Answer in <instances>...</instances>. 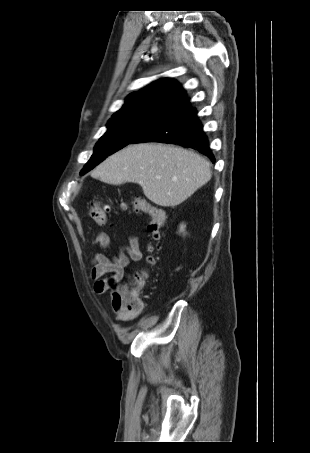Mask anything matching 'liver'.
Returning <instances> with one entry per match:
<instances>
[{
	"mask_svg": "<svg viewBox=\"0 0 310 453\" xmlns=\"http://www.w3.org/2000/svg\"><path fill=\"white\" fill-rule=\"evenodd\" d=\"M91 176L111 185L138 183L150 201L174 207L205 185L211 179V170L210 163L191 150L140 143L108 157Z\"/></svg>",
	"mask_w": 310,
	"mask_h": 453,
	"instance_id": "obj_1",
	"label": "liver"
}]
</instances>
